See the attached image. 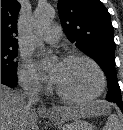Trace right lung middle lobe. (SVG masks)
Instances as JSON below:
<instances>
[{"instance_id": "right-lung-middle-lobe-1", "label": "right lung middle lobe", "mask_w": 123, "mask_h": 130, "mask_svg": "<svg viewBox=\"0 0 123 130\" xmlns=\"http://www.w3.org/2000/svg\"><path fill=\"white\" fill-rule=\"evenodd\" d=\"M18 48L1 47V75L17 79V57Z\"/></svg>"}]
</instances>
